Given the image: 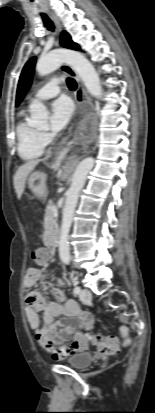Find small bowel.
<instances>
[{
    "label": "small bowel",
    "instance_id": "obj_1",
    "mask_svg": "<svg viewBox=\"0 0 155 413\" xmlns=\"http://www.w3.org/2000/svg\"><path fill=\"white\" fill-rule=\"evenodd\" d=\"M44 242L51 244V229L43 234ZM44 275V271L36 266L28 268L24 286L32 288ZM51 300L39 292H30L26 298V317L30 328L34 331L37 341L44 346L47 341L57 344L68 341L75 330L90 329L94 324L93 316L80 309L74 300H68L60 287H53L49 291ZM42 312V323L39 313ZM60 317L55 323V318ZM87 347L83 342L81 347L73 352H81Z\"/></svg>",
    "mask_w": 155,
    "mask_h": 413
}]
</instances>
